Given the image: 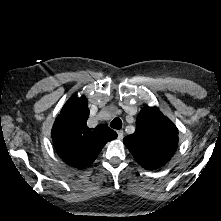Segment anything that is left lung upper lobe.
<instances>
[{"label":"left lung upper lobe","mask_w":221,"mask_h":221,"mask_svg":"<svg viewBox=\"0 0 221 221\" xmlns=\"http://www.w3.org/2000/svg\"><path fill=\"white\" fill-rule=\"evenodd\" d=\"M135 160L145 169L166 164L178 146V130L156 107L143 108L136 119V130L123 140Z\"/></svg>","instance_id":"obj_1"}]
</instances>
